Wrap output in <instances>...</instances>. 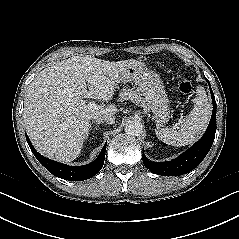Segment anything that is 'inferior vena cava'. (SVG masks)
I'll use <instances>...</instances> for the list:
<instances>
[{
    "label": "inferior vena cava",
    "mask_w": 239,
    "mask_h": 239,
    "mask_svg": "<svg viewBox=\"0 0 239 239\" xmlns=\"http://www.w3.org/2000/svg\"><path fill=\"white\" fill-rule=\"evenodd\" d=\"M92 119L95 121L107 122L108 124L115 123V117L111 114L96 115V116H93Z\"/></svg>",
    "instance_id": "inferior-vena-cava-1"
}]
</instances>
